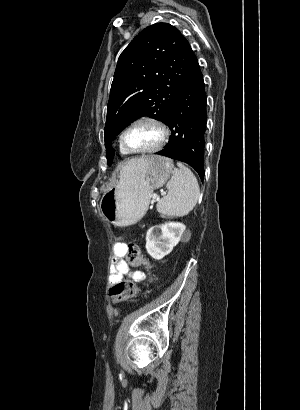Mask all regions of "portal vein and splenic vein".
<instances>
[{"mask_svg":"<svg viewBox=\"0 0 300 410\" xmlns=\"http://www.w3.org/2000/svg\"><path fill=\"white\" fill-rule=\"evenodd\" d=\"M152 199H153V200H158V195H157V194H153V195H152Z\"/></svg>","mask_w":300,"mask_h":410,"instance_id":"obj_1","label":"portal vein and splenic vein"}]
</instances>
